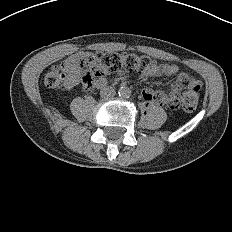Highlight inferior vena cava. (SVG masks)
Segmentation results:
<instances>
[{
    "mask_svg": "<svg viewBox=\"0 0 232 232\" xmlns=\"http://www.w3.org/2000/svg\"><path fill=\"white\" fill-rule=\"evenodd\" d=\"M100 94L103 98H112L115 96L116 92L112 87H104L101 89Z\"/></svg>",
    "mask_w": 232,
    "mask_h": 232,
    "instance_id": "602c4592",
    "label": "inferior vena cava"
}]
</instances>
